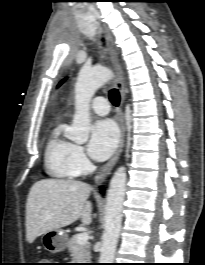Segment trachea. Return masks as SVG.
<instances>
[{
    "label": "trachea",
    "instance_id": "obj_1",
    "mask_svg": "<svg viewBox=\"0 0 205 265\" xmlns=\"http://www.w3.org/2000/svg\"><path fill=\"white\" fill-rule=\"evenodd\" d=\"M109 99L111 101V103L114 106H118L120 103V94L119 91L117 89H112L109 91Z\"/></svg>",
    "mask_w": 205,
    "mask_h": 265
}]
</instances>
